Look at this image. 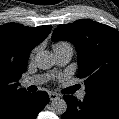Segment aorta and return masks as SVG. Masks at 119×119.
<instances>
[{
  "mask_svg": "<svg viewBox=\"0 0 119 119\" xmlns=\"http://www.w3.org/2000/svg\"><path fill=\"white\" fill-rule=\"evenodd\" d=\"M35 63L39 69L47 70L55 64V59L49 51H41L35 55ZM51 110L57 114L62 115L67 110V103L62 98H55L51 103Z\"/></svg>",
  "mask_w": 119,
  "mask_h": 119,
  "instance_id": "obj_1",
  "label": "aorta"
}]
</instances>
